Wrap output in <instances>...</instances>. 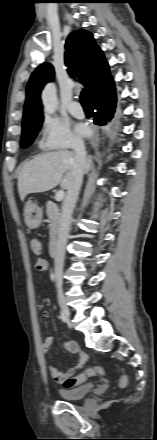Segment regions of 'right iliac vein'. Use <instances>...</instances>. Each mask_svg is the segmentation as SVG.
<instances>
[{"mask_svg": "<svg viewBox=\"0 0 157 440\" xmlns=\"http://www.w3.org/2000/svg\"><path fill=\"white\" fill-rule=\"evenodd\" d=\"M58 302H59V305L62 309L64 316L66 317L67 320H69L70 319V310H69V307L67 306L65 297H64L61 290L58 291Z\"/></svg>", "mask_w": 157, "mask_h": 440, "instance_id": "obj_1", "label": "right iliac vein"}]
</instances>
